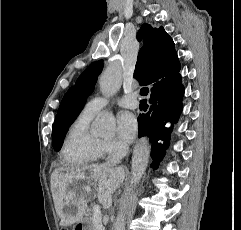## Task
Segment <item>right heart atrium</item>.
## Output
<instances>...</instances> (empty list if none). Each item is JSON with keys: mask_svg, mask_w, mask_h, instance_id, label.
<instances>
[{"mask_svg": "<svg viewBox=\"0 0 241 230\" xmlns=\"http://www.w3.org/2000/svg\"><path fill=\"white\" fill-rule=\"evenodd\" d=\"M102 153L107 155H116L120 154L125 150V147L122 143L116 140H108L101 142Z\"/></svg>", "mask_w": 241, "mask_h": 230, "instance_id": "right-heart-atrium-1", "label": "right heart atrium"}]
</instances>
